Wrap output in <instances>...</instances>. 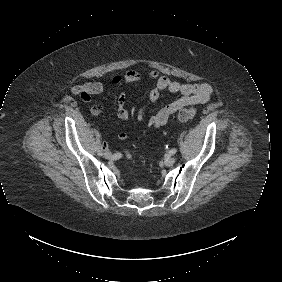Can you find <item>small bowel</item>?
Listing matches in <instances>:
<instances>
[{
    "label": "small bowel",
    "mask_w": 282,
    "mask_h": 282,
    "mask_svg": "<svg viewBox=\"0 0 282 282\" xmlns=\"http://www.w3.org/2000/svg\"><path fill=\"white\" fill-rule=\"evenodd\" d=\"M146 78L155 81L154 86L148 94L149 104H154L163 92L178 93L180 97L173 102L165 105L156 113L152 114L147 119V125L150 128L163 127L171 116L174 115V110L181 103L201 104L207 102L213 92L209 84H185L170 80L168 77L161 75L158 70L150 69L146 72ZM142 79V75L137 71H128L123 75H115L111 79V84L116 87H122L128 84L138 82ZM104 90V85L98 82L87 83L84 85H76L71 88V93L76 96H83L91 99L93 96L100 94ZM103 110L102 104L92 106L90 112L92 115H99ZM129 110L126 107V95L120 91L117 96V116L126 120L129 118ZM147 117V108H141L137 113V120L142 122ZM119 140H125L127 133L121 131L118 134Z\"/></svg>",
    "instance_id": "obj_1"
}]
</instances>
